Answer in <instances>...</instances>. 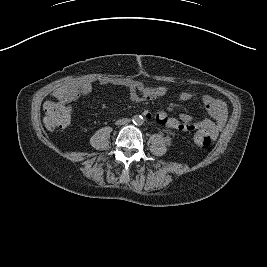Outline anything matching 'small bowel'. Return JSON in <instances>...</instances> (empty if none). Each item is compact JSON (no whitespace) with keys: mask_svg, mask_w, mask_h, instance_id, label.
I'll return each instance as SVG.
<instances>
[{"mask_svg":"<svg viewBox=\"0 0 267 267\" xmlns=\"http://www.w3.org/2000/svg\"><path fill=\"white\" fill-rule=\"evenodd\" d=\"M92 90L90 83H82L71 91L60 94L59 99L68 104L69 102L87 96ZM130 97L134 102L149 101L164 96L167 92L163 86L148 87L142 83H134L129 86ZM195 94L191 91H184L178 95L181 102L192 100ZM201 103L207 111L210 118H204L200 121H194L193 117L188 113H181L177 118L168 116L165 111H158L152 114L145 110L144 116L148 119L154 118L155 121L172 129L197 130L210 134L213 138H217L221 131L227 116L226 104L210 95H203Z\"/></svg>","mask_w":267,"mask_h":267,"instance_id":"1","label":"small bowel"}]
</instances>
